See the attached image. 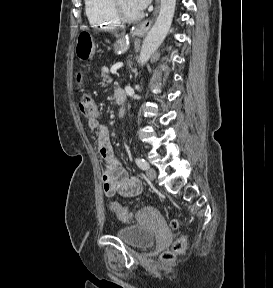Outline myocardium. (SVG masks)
Returning a JSON list of instances; mask_svg holds the SVG:
<instances>
[{
  "label": "myocardium",
  "mask_w": 273,
  "mask_h": 288,
  "mask_svg": "<svg viewBox=\"0 0 273 288\" xmlns=\"http://www.w3.org/2000/svg\"><path fill=\"white\" fill-rule=\"evenodd\" d=\"M110 7L114 18L119 23H136L142 19V14L136 16L126 15L119 6V0H110Z\"/></svg>",
  "instance_id": "1"
}]
</instances>
